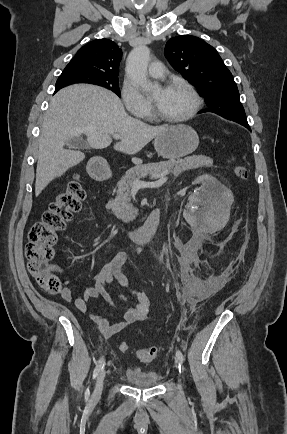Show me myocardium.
<instances>
[{
    "mask_svg": "<svg viewBox=\"0 0 287 434\" xmlns=\"http://www.w3.org/2000/svg\"><path fill=\"white\" fill-rule=\"evenodd\" d=\"M173 87H179L188 92V94L192 99V104L190 109L184 115L178 117H168L163 115L158 110V108L155 107V115L161 121L172 123V124H179L193 118L198 113L202 104V100L197 90L189 82L185 80H181V79L171 80L166 85V89L173 88Z\"/></svg>",
    "mask_w": 287,
    "mask_h": 434,
    "instance_id": "f54148a6",
    "label": "myocardium"
}]
</instances>
